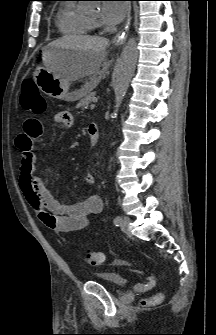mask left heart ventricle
Returning <instances> with one entry per match:
<instances>
[{"label":"left heart ventricle","instance_id":"obj_1","mask_svg":"<svg viewBox=\"0 0 216 335\" xmlns=\"http://www.w3.org/2000/svg\"><path fill=\"white\" fill-rule=\"evenodd\" d=\"M96 17H97V14H93V15H92V18H96Z\"/></svg>","mask_w":216,"mask_h":335}]
</instances>
